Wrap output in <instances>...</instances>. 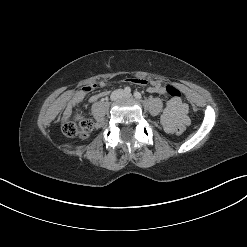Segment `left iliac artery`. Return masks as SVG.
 <instances>
[{
    "instance_id": "1",
    "label": "left iliac artery",
    "mask_w": 247,
    "mask_h": 247,
    "mask_svg": "<svg viewBox=\"0 0 247 247\" xmlns=\"http://www.w3.org/2000/svg\"><path fill=\"white\" fill-rule=\"evenodd\" d=\"M134 96H135V98H137V99H141V94L139 93V92H134Z\"/></svg>"
}]
</instances>
